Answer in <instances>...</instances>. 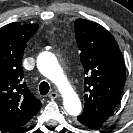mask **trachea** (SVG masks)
<instances>
[{
    "instance_id": "1",
    "label": "trachea",
    "mask_w": 133,
    "mask_h": 133,
    "mask_svg": "<svg viewBox=\"0 0 133 133\" xmlns=\"http://www.w3.org/2000/svg\"><path fill=\"white\" fill-rule=\"evenodd\" d=\"M50 90L49 84L45 81L41 82L39 86V91L41 95H46Z\"/></svg>"
}]
</instances>
